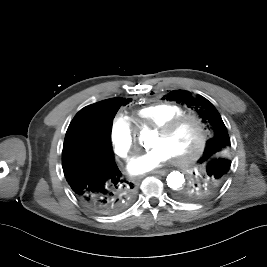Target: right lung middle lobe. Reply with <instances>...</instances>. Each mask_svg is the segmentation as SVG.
<instances>
[{"label":"right lung middle lobe","instance_id":"right-lung-middle-lobe-1","mask_svg":"<svg viewBox=\"0 0 267 267\" xmlns=\"http://www.w3.org/2000/svg\"><path fill=\"white\" fill-rule=\"evenodd\" d=\"M122 103H113L108 105L104 110V122L105 126L108 128L107 132H103L101 139H100V145L97 149V152L108 157H112V148H111V129H112V123L113 119L121 107ZM126 105V104H124ZM73 123L71 122L67 132L69 133L73 127ZM93 153L90 151V154Z\"/></svg>","mask_w":267,"mask_h":267}]
</instances>
